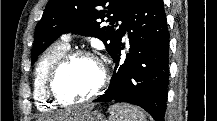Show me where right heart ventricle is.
Returning a JSON list of instances; mask_svg holds the SVG:
<instances>
[{
    "instance_id": "right-heart-ventricle-1",
    "label": "right heart ventricle",
    "mask_w": 217,
    "mask_h": 121,
    "mask_svg": "<svg viewBox=\"0 0 217 121\" xmlns=\"http://www.w3.org/2000/svg\"><path fill=\"white\" fill-rule=\"evenodd\" d=\"M70 45L65 42H58L48 48L40 57L34 73V99L41 110H52L56 105L50 100L46 91L47 77L53 65L68 51Z\"/></svg>"
}]
</instances>
